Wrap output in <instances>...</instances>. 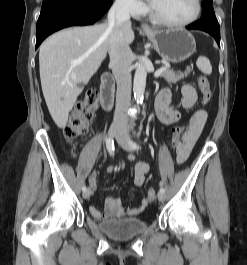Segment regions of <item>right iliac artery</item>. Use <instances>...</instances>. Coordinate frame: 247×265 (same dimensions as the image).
Masks as SVG:
<instances>
[{
  "mask_svg": "<svg viewBox=\"0 0 247 265\" xmlns=\"http://www.w3.org/2000/svg\"><path fill=\"white\" fill-rule=\"evenodd\" d=\"M106 147H107V149H108V151H109L110 154H113L114 153V141L111 138H108L106 140ZM86 190H87V188L84 185L82 187V191H86Z\"/></svg>",
  "mask_w": 247,
  "mask_h": 265,
  "instance_id": "82829eb1",
  "label": "right iliac artery"
}]
</instances>
